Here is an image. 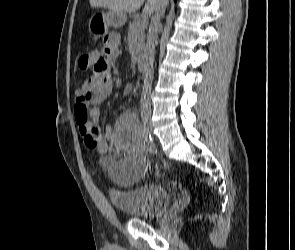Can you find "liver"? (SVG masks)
I'll list each match as a JSON object with an SVG mask.
<instances>
[{"mask_svg": "<svg viewBox=\"0 0 295 250\" xmlns=\"http://www.w3.org/2000/svg\"><path fill=\"white\" fill-rule=\"evenodd\" d=\"M145 0H90L91 7H102L117 12H136L144 4ZM168 0H165L166 7ZM157 0H146L144 12H155Z\"/></svg>", "mask_w": 295, "mask_h": 250, "instance_id": "obj_1", "label": "liver"}]
</instances>
